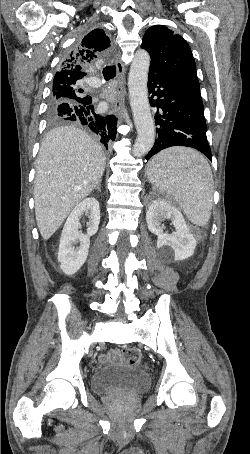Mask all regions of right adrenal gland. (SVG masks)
<instances>
[{
	"mask_svg": "<svg viewBox=\"0 0 250 454\" xmlns=\"http://www.w3.org/2000/svg\"><path fill=\"white\" fill-rule=\"evenodd\" d=\"M96 190H98L99 192H101V181L97 184Z\"/></svg>",
	"mask_w": 250,
	"mask_h": 454,
	"instance_id": "2a0ac1e0",
	"label": "right adrenal gland"
}]
</instances>
